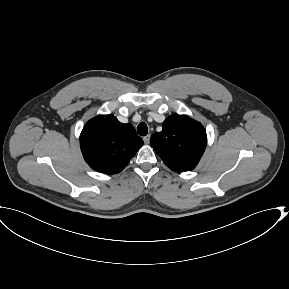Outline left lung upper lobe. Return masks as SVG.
<instances>
[{"mask_svg": "<svg viewBox=\"0 0 289 289\" xmlns=\"http://www.w3.org/2000/svg\"><path fill=\"white\" fill-rule=\"evenodd\" d=\"M150 143L166 166L176 172L196 167L206 147L204 127L186 115L166 118L161 132L151 136Z\"/></svg>", "mask_w": 289, "mask_h": 289, "instance_id": "1", "label": "left lung upper lobe"}]
</instances>
